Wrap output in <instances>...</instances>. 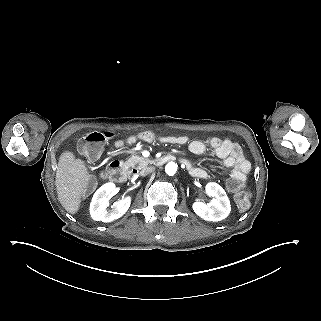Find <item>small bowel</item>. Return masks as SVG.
<instances>
[{"label": "small bowel", "instance_id": "obj_1", "mask_svg": "<svg viewBox=\"0 0 321 321\" xmlns=\"http://www.w3.org/2000/svg\"><path fill=\"white\" fill-rule=\"evenodd\" d=\"M152 142L154 134L150 131H145L137 135L129 136L125 139H120L115 142L116 147L133 144L137 141ZM160 141L168 144L188 145L190 152L196 155H202L210 151L214 156L221 159L224 166L231 169L230 180H237L244 186L247 175L250 172L251 164L245 158L241 147L228 138L211 137L206 142L193 140L189 141L186 136H164ZM189 172L197 178H207L208 172L200 167L193 165L189 161H185Z\"/></svg>", "mask_w": 321, "mask_h": 321}]
</instances>
